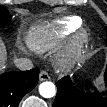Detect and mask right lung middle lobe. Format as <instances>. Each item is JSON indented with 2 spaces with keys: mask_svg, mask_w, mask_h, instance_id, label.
I'll use <instances>...</instances> for the list:
<instances>
[{
  "mask_svg": "<svg viewBox=\"0 0 107 107\" xmlns=\"http://www.w3.org/2000/svg\"><path fill=\"white\" fill-rule=\"evenodd\" d=\"M11 20L10 14L8 13V10L0 7V27L6 26Z\"/></svg>",
  "mask_w": 107,
  "mask_h": 107,
  "instance_id": "obj_1",
  "label": "right lung middle lobe"
}]
</instances>
